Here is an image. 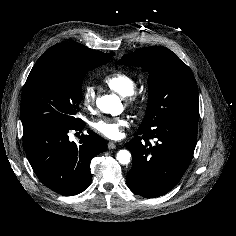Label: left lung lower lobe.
<instances>
[{"label": "left lung lower lobe", "mask_w": 236, "mask_h": 236, "mask_svg": "<svg viewBox=\"0 0 236 236\" xmlns=\"http://www.w3.org/2000/svg\"><path fill=\"white\" fill-rule=\"evenodd\" d=\"M198 120L170 118L126 143L132 153L127 185L135 193L154 198L166 194L188 168L197 143ZM155 139L152 145L149 140Z\"/></svg>", "instance_id": "1"}]
</instances>
